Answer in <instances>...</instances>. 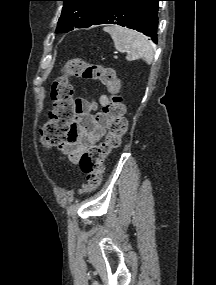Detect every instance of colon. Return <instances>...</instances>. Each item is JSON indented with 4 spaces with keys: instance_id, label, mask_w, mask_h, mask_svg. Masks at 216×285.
I'll use <instances>...</instances> for the list:
<instances>
[{
    "instance_id": "obj_1",
    "label": "colon",
    "mask_w": 216,
    "mask_h": 285,
    "mask_svg": "<svg viewBox=\"0 0 216 285\" xmlns=\"http://www.w3.org/2000/svg\"><path fill=\"white\" fill-rule=\"evenodd\" d=\"M71 76L99 81L109 92L108 103L102 106L103 113L108 117L107 136L102 142L84 152L79 160L81 169L86 175L81 193H88L101 184L104 160L112 150L119 147L121 138L126 132L125 106L119 94L120 79L112 68L88 63L80 58L70 59L63 65L62 74L51 85L52 107L49 120L40 129L43 144L53 146L60 143L74 122L77 104L73 99L74 90L69 82Z\"/></svg>"
}]
</instances>
